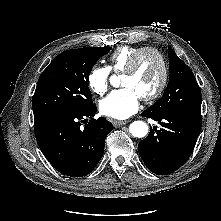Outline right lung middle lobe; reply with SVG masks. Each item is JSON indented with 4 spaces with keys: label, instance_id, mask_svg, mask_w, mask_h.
I'll use <instances>...</instances> for the list:
<instances>
[{
    "label": "right lung middle lobe",
    "instance_id": "right-lung-middle-lobe-1",
    "mask_svg": "<svg viewBox=\"0 0 221 221\" xmlns=\"http://www.w3.org/2000/svg\"><path fill=\"white\" fill-rule=\"evenodd\" d=\"M111 47H85L57 55L42 72L32 100L34 118L59 112H83L94 103L89 74Z\"/></svg>",
    "mask_w": 221,
    "mask_h": 221
}]
</instances>
